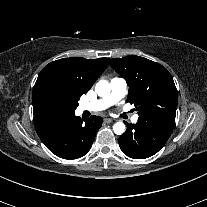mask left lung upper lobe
<instances>
[{"mask_svg":"<svg viewBox=\"0 0 207 207\" xmlns=\"http://www.w3.org/2000/svg\"><path fill=\"white\" fill-rule=\"evenodd\" d=\"M111 67L129 86L128 100L138 111V119L175 123L177 90L171 74L160 64L131 55L110 59Z\"/></svg>","mask_w":207,"mask_h":207,"instance_id":"left-lung-upper-lobe-1","label":"left lung upper lobe"}]
</instances>
